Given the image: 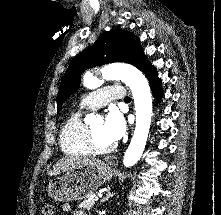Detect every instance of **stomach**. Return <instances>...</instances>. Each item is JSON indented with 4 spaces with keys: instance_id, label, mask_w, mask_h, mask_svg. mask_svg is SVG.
Segmentation results:
<instances>
[{
    "instance_id": "1",
    "label": "stomach",
    "mask_w": 221,
    "mask_h": 215,
    "mask_svg": "<svg viewBox=\"0 0 221 215\" xmlns=\"http://www.w3.org/2000/svg\"><path fill=\"white\" fill-rule=\"evenodd\" d=\"M112 176L111 167L101 160H94L81 168L70 170L61 177L51 180L47 187V193L58 202L86 199L109 181Z\"/></svg>"
}]
</instances>
